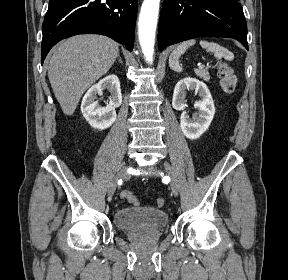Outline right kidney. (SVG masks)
<instances>
[{
  "label": "right kidney",
  "mask_w": 288,
  "mask_h": 280,
  "mask_svg": "<svg viewBox=\"0 0 288 280\" xmlns=\"http://www.w3.org/2000/svg\"><path fill=\"white\" fill-rule=\"evenodd\" d=\"M104 89L109 90V104L99 106L96 101L97 94ZM122 103L120 81L116 75H108L93 85L84 95L81 103V112L86 121L94 128L103 130L109 128L116 120L115 109Z\"/></svg>",
  "instance_id": "obj_1"
}]
</instances>
